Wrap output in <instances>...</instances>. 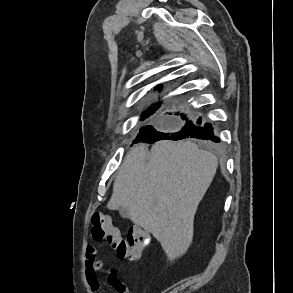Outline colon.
Here are the masks:
<instances>
[{"label": "colon", "mask_w": 293, "mask_h": 293, "mask_svg": "<svg viewBox=\"0 0 293 293\" xmlns=\"http://www.w3.org/2000/svg\"><path fill=\"white\" fill-rule=\"evenodd\" d=\"M91 235L96 241L112 244L117 255L129 261L141 256L149 240L148 233L138 226H131L122 238L114 222L101 211L94 212L91 217Z\"/></svg>", "instance_id": "1"}]
</instances>
